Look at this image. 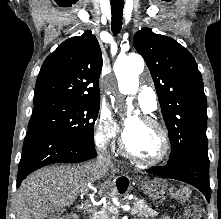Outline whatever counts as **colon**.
Returning <instances> with one entry per match:
<instances>
[{"label":"colon","instance_id":"5ec220e1","mask_svg":"<svg viewBox=\"0 0 221 219\" xmlns=\"http://www.w3.org/2000/svg\"><path fill=\"white\" fill-rule=\"evenodd\" d=\"M181 196L186 195V191L179 190ZM76 215H68L65 219H77ZM182 219H205L204 215L200 208L198 207H190L182 217Z\"/></svg>","mask_w":221,"mask_h":219}]
</instances>
